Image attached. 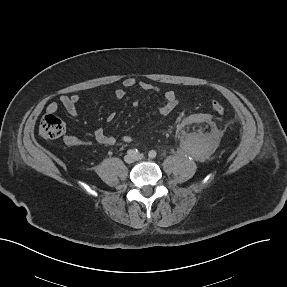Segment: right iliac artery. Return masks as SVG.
Segmentation results:
<instances>
[{"label": "right iliac artery", "mask_w": 287, "mask_h": 287, "mask_svg": "<svg viewBox=\"0 0 287 287\" xmlns=\"http://www.w3.org/2000/svg\"><path fill=\"white\" fill-rule=\"evenodd\" d=\"M127 154H128V155H132V156H136V155L139 154V151H138L137 149H129V150L127 151Z\"/></svg>", "instance_id": "82829eb1"}]
</instances>
